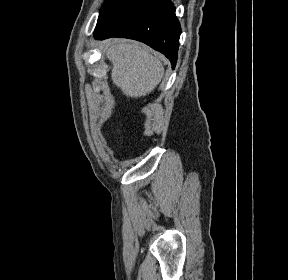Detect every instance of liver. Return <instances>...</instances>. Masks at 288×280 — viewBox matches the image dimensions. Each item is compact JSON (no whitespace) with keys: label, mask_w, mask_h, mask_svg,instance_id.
<instances>
[{"label":"liver","mask_w":288,"mask_h":280,"mask_svg":"<svg viewBox=\"0 0 288 280\" xmlns=\"http://www.w3.org/2000/svg\"><path fill=\"white\" fill-rule=\"evenodd\" d=\"M107 58L113 64V83L129 97L151 93L164 75L160 59L139 43L117 41L109 48Z\"/></svg>","instance_id":"liver-1"}]
</instances>
